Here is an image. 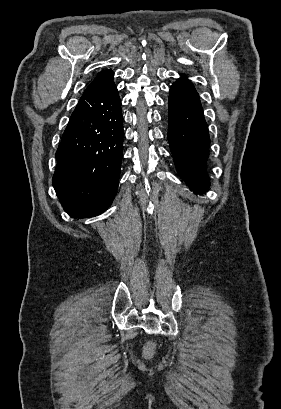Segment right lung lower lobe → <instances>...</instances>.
I'll list each match as a JSON object with an SVG mask.
<instances>
[{
  "label": "right lung lower lobe",
  "instance_id": "obj_1",
  "mask_svg": "<svg viewBox=\"0 0 281 409\" xmlns=\"http://www.w3.org/2000/svg\"><path fill=\"white\" fill-rule=\"evenodd\" d=\"M113 75L110 71L87 87L56 152L53 186L73 218L103 213L118 188L124 133Z\"/></svg>",
  "mask_w": 281,
  "mask_h": 409
}]
</instances>
